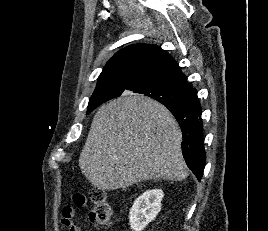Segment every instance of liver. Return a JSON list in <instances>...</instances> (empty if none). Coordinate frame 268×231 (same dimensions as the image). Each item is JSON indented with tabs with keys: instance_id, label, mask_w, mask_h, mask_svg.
<instances>
[{
	"instance_id": "obj_1",
	"label": "liver",
	"mask_w": 268,
	"mask_h": 231,
	"mask_svg": "<svg viewBox=\"0 0 268 231\" xmlns=\"http://www.w3.org/2000/svg\"><path fill=\"white\" fill-rule=\"evenodd\" d=\"M181 142L179 125L164 105L126 92L98 109L79 166L102 191L152 179L181 181L188 176Z\"/></svg>"
}]
</instances>
